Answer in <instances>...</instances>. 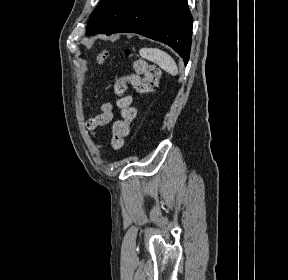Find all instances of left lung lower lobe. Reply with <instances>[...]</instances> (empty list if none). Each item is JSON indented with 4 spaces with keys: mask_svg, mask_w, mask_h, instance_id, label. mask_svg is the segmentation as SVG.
I'll return each instance as SVG.
<instances>
[{
    "mask_svg": "<svg viewBox=\"0 0 288 280\" xmlns=\"http://www.w3.org/2000/svg\"><path fill=\"white\" fill-rule=\"evenodd\" d=\"M193 19L187 0H139L113 33H137L173 48L186 65Z\"/></svg>",
    "mask_w": 288,
    "mask_h": 280,
    "instance_id": "1",
    "label": "left lung lower lobe"
}]
</instances>
